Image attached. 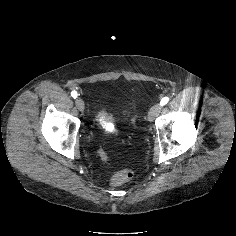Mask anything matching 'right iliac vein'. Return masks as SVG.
<instances>
[{"instance_id":"1","label":"right iliac vein","mask_w":236,"mask_h":236,"mask_svg":"<svg viewBox=\"0 0 236 236\" xmlns=\"http://www.w3.org/2000/svg\"><path fill=\"white\" fill-rule=\"evenodd\" d=\"M75 104L79 111H83L85 109L84 101L81 98H77L75 100Z\"/></svg>"}]
</instances>
